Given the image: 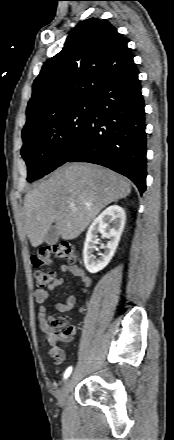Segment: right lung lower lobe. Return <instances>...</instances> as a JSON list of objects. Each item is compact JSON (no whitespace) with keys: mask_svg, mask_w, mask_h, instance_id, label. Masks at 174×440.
I'll list each match as a JSON object with an SVG mask.
<instances>
[{"mask_svg":"<svg viewBox=\"0 0 174 440\" xmlns=\"http://www.w3.org/2000/svg\"><path fill=\"white\" fill-rule=\"evenodd\" d=\"M138 70L131 62L103 81L91 96L87 127L65 162H89L110 168L146 189L144 101Z\"/></svg>","mask_w":174,"mask_h":440,"instance_id":"98d812e1","label":"right lung lower lobe"}]
</instances>
